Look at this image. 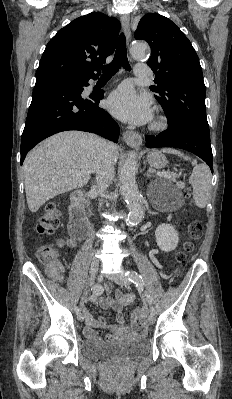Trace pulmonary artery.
Returning <instances> with one entry per match:
<instances>
[{
  "mask_svg": "<svg viewBox=\"0 0 232 399\" xmlns=\"http://www.w3.org/2000/svg\"><path fill=\"white\" fill-rule=\"evenodd\" d=\"M136 68L135 74L137 80H149L152 71L151 69H148V63H137Z\"/></svg>",
  "mask_w": 232,
  "mask_h": 399,
  "instance_id": "1",
  "label": "pulmonary artery"
}]
</instances>
